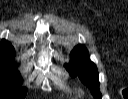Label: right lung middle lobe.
I'll return each instance as SVG.
<instances>
[{
  "instance_id": "obj_1",
  "label": "right lung middle lobe",
  "mask_w": 128,
  "mask_h": 99,
  "mask_svg": "<svg viewBox=\"0 0 128 99\" xmlns=\"http://www.w3.org/2000/svg\"><path fill=\"white\" fill-rule=\"evenodd\" d=\"M22 79L11 58L0 59V99H23L26 88H21Z\"/></svg>"
}]
</instances>
